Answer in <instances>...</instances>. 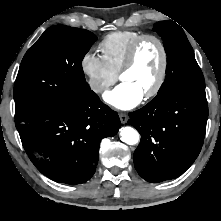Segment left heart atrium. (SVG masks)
I'll use <instances>...</instances> for the list:
<instances>
[{"instance_id": "1", "label": "left heart atrium", "mask_w": 221, "mask_h": 221, "mask_svg": "<svg viewBox=\"0 0 221 221\" xmlns=\"http://www.w3.org/2000/svg\"><path fill=\"white\" fill-rule=\"evenodd\" d=\"M143 94L133 85L122 82L104 95V100L120 110H128L138 105Z\"/></svg>"}]
</instances>
